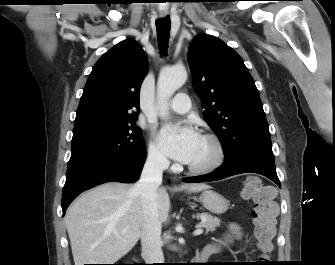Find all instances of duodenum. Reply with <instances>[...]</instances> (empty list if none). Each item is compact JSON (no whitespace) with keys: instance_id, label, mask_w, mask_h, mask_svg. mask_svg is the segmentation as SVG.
<instances>
[{"instance_id":"obj_1","label":"duodenum","mask_w":335,"mask_h":265,"mask_svg":"<svg viewBox=\"0 0 335 265\" xmlns=\"http://www.w3.org/2000/svg\"><path fill=\"white\" fill-rule=\"evenodd\" d=\"M214 252H216V249L213 245H208L197 255L196 261H205Z\"/></svg>"}]
</instances>
